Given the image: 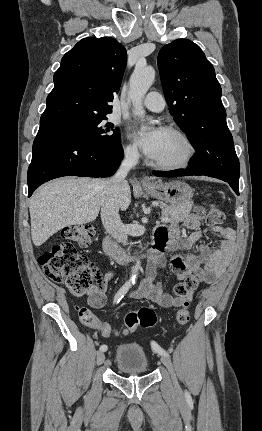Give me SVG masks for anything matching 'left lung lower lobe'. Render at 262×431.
<instances>
[{"mask_svg": "<svg viewBox=\"0 0 262 431\" xmlns=\"http://www.w3.org/2000/svg\"><path fill=\"white\" fill-rule=\"evenodd\" d=\"M153 174L158 177H175V176H188V175H204L193 169H186L180 171L164 172V171H154ZM207 176V175H206ZM222 180V179H221ZM227 182V181H226ZM232 189L237 195H239V182H228Z\"/></svg>", "mask_w": 262, "mask_h": 431, "instance_id": "1", "label": "left lung lower lobe"}]
</instances>
